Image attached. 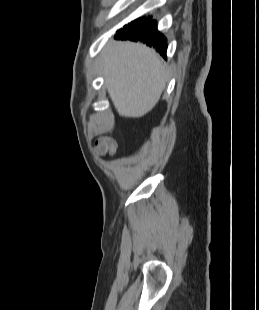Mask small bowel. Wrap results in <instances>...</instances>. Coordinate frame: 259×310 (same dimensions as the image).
Here are the masks:
<instances>
[{
    "label": "small bowel",
    "instance_id": "small-bowel-1",
    "mask_svg": "<svg viewBox=\"0 0 259 310\" xmlns=\"http://www.w3.org/2000/svg\"><path fill=\"white\" fill-rule=\"evenodd\" d=\"M115 150V144L107 138H100L95 146V154L98 156L105 155Z\"/></svg>",
    "mask_w": 259,
    "mask_h": 310
}]
</instances>
